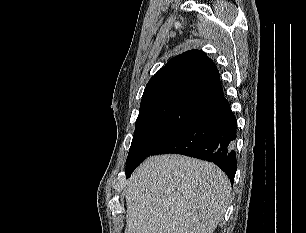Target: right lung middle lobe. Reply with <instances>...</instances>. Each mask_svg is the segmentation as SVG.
I'll return each mask as SVG.
<instances>
[{
	"instance_id": "1",
	"label": "right lung middle lobe",
	"mask_w": 306,
	"mask_h": 233,
	"mask_svg": "<svg viewBox=\"0 0 306 233\" xmlns=\"http://www.w3.org/2000/svg\"><path fill=\"white\" fill-rule=\"evenodd\" d=\"M204 107L185 100H161L140 107L126 161V175Z\"/></svg>"
}]
</instances>
